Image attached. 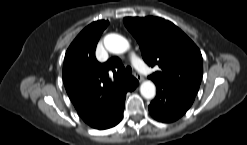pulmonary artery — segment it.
<instances>
[{"mask_svg": "<svg viewBox=\"0 0 247 145\" xmlns=\"http://www.w3.org/2000/svg\"><path fill=\"white\" fill-rule=\"evenodd\" d=\"M130 60L133 63V65H135L140 71L144 73L148 71L145 64L136 55L132 54L130 56Z\"/></svg>", "mask_w": 247, "mask_h": 145, "instance_id": "obj_1", "label": "pulmonary artery"}]
</instances>
